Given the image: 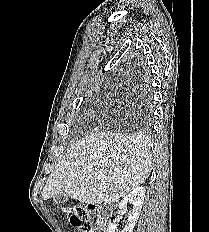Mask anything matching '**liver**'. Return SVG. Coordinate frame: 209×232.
Returning a JSON list of instances; mask_svg holds the SVG:
<instances>
[{"label":"liver","mask_w":209,"mask_h":232,"mask_svg":"<svg viewBox=\"0 0 209 232\" xmlns=\"http://www.w3.org/2000/svg\"><path fill=\"white\" fill-rule=\"evenodd\" d=\"M151 170V143L146 135L97 131L66 151L42 198L63 194L87 204L111 203L141 185Z\"/></svg>","instance_id":"obj_1"}]
</instances>
